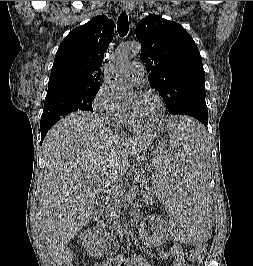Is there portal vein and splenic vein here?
Returning a JSON list of instances; mask_svg holds the SVG:
<instances>
[{
    "label": "portal vein and splenic vein",
    "mask_w": 253,
    "mask_h": 266,
    "mask_svg": "<svg viewBox=\"0 0 253 266\" xmlns=\"http://www.w3.org/2000/svg\"><path fill=\"white\" fill-rule=\"evenodd\" d=\"M92 183L98 184L99 187H101L103 190H106L109 194H120L117 187L110 188V184L100 177L92 178Z\"/></svg>",
    "instance_id": "1"
}]
</instances>
